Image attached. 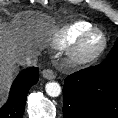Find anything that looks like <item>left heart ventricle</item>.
Wrapping results in <instances>:
<instances>
[{"instance_id": "obj_1", "label": "left heart ventricle", "mask_w": 118, "mask_h": 118, "mask_svg": "<svg viewBox=\"0 0 118 118\" xmlns=\"http://www.w3.org/2000/svg\"><path fill=\"white\" fill-rule=\"evenodd\" d=\"M100 44H101V38L99 36H94L88 41L86 49L88 51H93L96 48H98Z\"/></svg>"}]
</instances>
